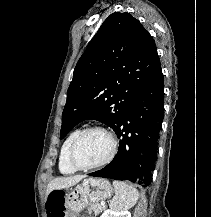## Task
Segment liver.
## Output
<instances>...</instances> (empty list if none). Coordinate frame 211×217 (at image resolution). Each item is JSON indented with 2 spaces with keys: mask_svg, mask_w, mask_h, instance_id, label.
Masks as SVG:
<instances>
[{
  "mask_svg": "<svg viewBox=\"0 0 211 217\" xmlns=\"http://www.w3.org/2000/svg\"><path fill=\"white\" fill-rule=\"evenodd\" d=\"M85 176L75 175L69 177H57L52 180L47 186L46 196L53 190L66 189L80 182Z\"/></svg>",
  "mask_w": 211,
  "mask_h": 217,
  "instance_id": "liver-1",
  "label": "liver"
}]
</instances>
